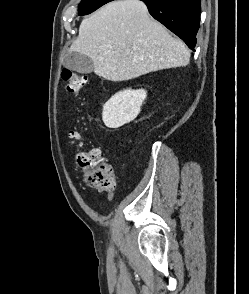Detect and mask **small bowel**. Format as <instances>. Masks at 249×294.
Masks as SVG:
<instances>
[{
	"label": "small bowel",
	"instance_id": "small-bowel-1",
	"mask_svg": "<svg viewBox=\"0 0 249 294\" xmlns=\"http://www.w3.org/2000/svg\"><path fill=\"white\" fill-rule=\"evenodd\" d=\"M110 200L112 199V196L111 195H109V197H108Z\"/></svg>",
	"mask_w": 249,
	"mask_h": 294
}]
</instances>
